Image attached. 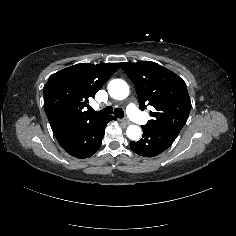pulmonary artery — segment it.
Here are the masks:
<instances>
[{
  "label": "pulmonary artery",
  "mask_w": 236,
  "mask_h": 236,
  "mask_svg": "<svg viewBox=\"0 0 236 236\" xmlns=\"http://www.w3.org/2000/svg\"><path fill=\"white\" fill-rule=\"evenodd\" d=\"M127 113L132 117V120L139 125H145L148 122V117L142 114L135 105H128Z\"/></svg>",
  "instance_id": "obj_1"
}]
</instances>
